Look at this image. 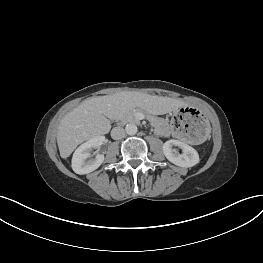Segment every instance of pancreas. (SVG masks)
<instances>
[{"mask_svg":"<svg viewBox=\"0 0 263 263\" xmlns=\"http://www.w3.org/2000/svg\"><path fill=\"white\" fill-rule=\"evenodd\" d=\"M141 110L139 109H134L129 112H127L125 115L121 117L122 122H127V121H138L136 118V114L140 112ZM147 120L151 123L153 127H155L156 130L159 129L161 120L157 118L156 116H152L150 114H146Z\"/></svg>","mask_w":263,"mask_h":263,"instance_id":"1","label":"pancreas"}]
</instances>
